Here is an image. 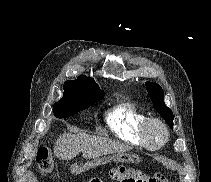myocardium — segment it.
I'll return each mask as SVG.
<instances>
[{
	"mask_svg": "<svg viewBox=\"0 0 211 182\" xmlns=\"http://www.w3.org/2000/svg\"><path fill=\"white\" fill-rule=\"evenodd\" d=\"M154 124L160 126L164 132V138L162 139V141H160L159 143H156V144L151 143V141L149 140L148 135H147L148 128ZM139 135H140V139L145 147H147L149 149H158L167 143V141L169 139V129H168L166 123L162 119L157 118V117H147L144 119V121L142 122V124L139 128Z\"/></svg>",
	"mask_w": 211,
	"mask_h": 182,
	"instance_id": "1",
	"label": "myocardium"
}]
</instances>
